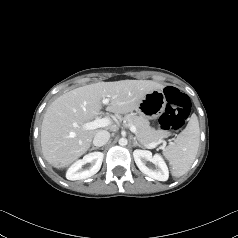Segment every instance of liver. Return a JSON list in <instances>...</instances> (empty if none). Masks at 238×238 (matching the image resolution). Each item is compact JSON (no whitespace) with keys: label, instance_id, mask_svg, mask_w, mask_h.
Listing matches in <instances>:
<instances>
[{"label":"liver","instance_id":"obj_1","mask_svg":"<svg viewBox=\"0 0 238 238\" xmlns=\"http://www.w3.org/2000/svg\"><path fill=\"white\" fill-rule=\"evenodd\" d=\"M163 88L150 80H121L98 82L61 95L47 108L42 121L44 158L59 169L69 166L88 151L100 130H85L83 125L99 115L102 99H109L107 111L126 114L137 110L147 93Z\"/></svg>","mask_w":238,"mask_h":238}]
</instances>
